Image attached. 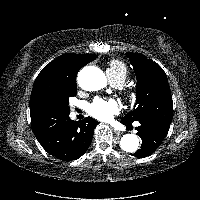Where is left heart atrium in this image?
Masks as SVG:
<instances>
[{
  "mask_svg": "<svg viewBox=\"0 0 200 200\" xmlns=\"http://www.w3.org/2000/svg\"><path fill=\"white\" fill-rule=\"evenodd\" d=\"M119 112V107L114 99H95L88 106V113L94 118L102 121H108Z\"/></svg>",
  "mask_w": 200,
  "mask_h": 200,
  "instance_id": "39dd6f15",
  "label": "left heart atrium"
}]
</instances>
